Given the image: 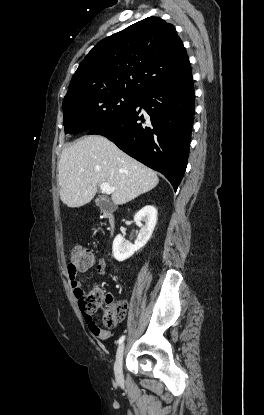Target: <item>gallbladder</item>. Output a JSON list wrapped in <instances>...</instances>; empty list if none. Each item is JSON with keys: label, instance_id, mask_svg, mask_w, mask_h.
<instances>
[{"label": "gallbladder", "instance_id": "obj_1", "mask_svg": "<svg viewBox=\"0 0 264 415\" xmlns=\"http://www.w3.org/2000/svg\"><path fill=\"white\" fill-rule=\"evenodd\" d=\"M96 205L98 207H100L101 209H108L109 208V204L106 201L102 200V199H97L96 200Z\"/></svg>", "mask_w": 264, "mask_h": 415}]
</instances>
